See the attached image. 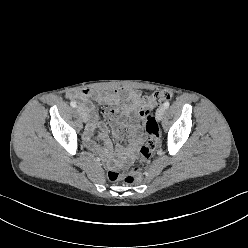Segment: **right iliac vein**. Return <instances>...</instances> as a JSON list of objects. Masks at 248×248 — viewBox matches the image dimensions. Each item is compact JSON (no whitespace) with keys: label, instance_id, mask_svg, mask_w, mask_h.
Masks as SVG:
<instances>
[{"label":"right iliac vein","instance_id":"right-iliac-vein-1","mask_svg":"<svg viewBox=\"0 0 248 248\" xmlns=\"http://www.w3.org/2000/svg\"><path fill=\"white\" fill-rule=\"evenodd\" d=\"M77 111L80 114V116L82 117L83 121L87 122L88 118H89L87 110L83 106H78Z\"/></svg>","mask_w":248,"mask_h":248}]
</instances>
